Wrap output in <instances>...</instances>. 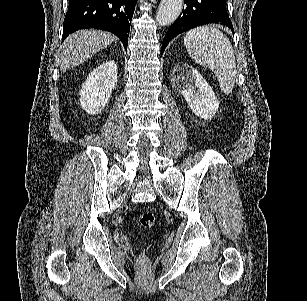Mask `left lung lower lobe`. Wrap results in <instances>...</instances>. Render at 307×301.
Segmentation results:
<instances>
[{
	"label": "left lung lower lobe",
	"mask_w": 307,
	"mask_h": 301,
	"mask_svg": "<svg viewBox=\"0 0 307 301\" xmlns=\"http://www.w3.org/2000/svg\"><path fill=\"white\" fill-rule=\"evenodd\" d=\"M225 4L226 0H185L182 13L163 39L161 54L168 43L178 34L200 25L220 23L228 26L234 32Z\"/></svg>",
	"instance_id": "0a47b994"
}]
</instances>
